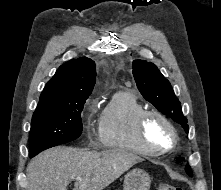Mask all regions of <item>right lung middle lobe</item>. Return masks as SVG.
I'll list each match as a JSON object with an SVG mask.
<instances>
[{
  "mask_svg": "<svg viewBox=\"0 0 221 190\" xmlns=\"http://www.w3.org/2000/svg\"><path fill=\"white\" fill-rule=\"evenodd\" d=\"M85 101L72 105L37 107L29 137V157L63 143L77 139L82 133L81 112Z\"/></svg>",
  "mask_w": 221,
  "mask_h": 190,
  "instance_id": "obj_1",
  "label": "right lung middle lobe"
}]
</instances>
